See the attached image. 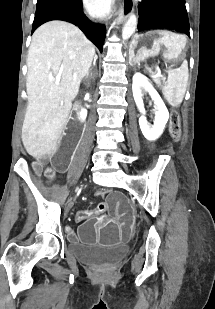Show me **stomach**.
<instances>
[{"mask_svg": "<svg viewBox=\"0 0 215 309\" xmlns=\"http://www.w3.org/2000/svg\"><path fill=\"white\" fill-rule=\"evenodd\" d=\"M185 35L165 29H153L133 36L129 46L130 63H139L159 54L166 60L185 57Z\"/></svg>", "mask_w": 215, "mask_h": 309, "instance_id": "obj_1", "label": "stomach"}]
</instances>
